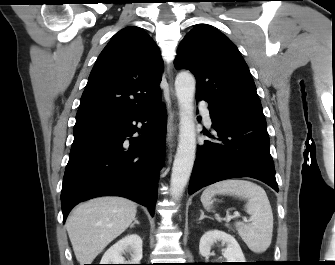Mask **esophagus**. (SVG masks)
Returning <instances> with one entry per match:
<instances>
[{
    "mask_svg": "<svg viewBox=\"0 0 335 265\" xmlns=\"http://www.w3.org/2000/svg\"><path fill=\"white\" fill-rule=\"evenodd\" d=\"M167 75H168V78L170 79V82H171V70L170 69L167 70ZM170 96H171L172 101L175 102V95H174V90H173L172 86H170ZM175 131H176V126L172 123L171 119H169L168 127H167V143H168V145L172 144Z\"/></svg>",
    "mask_w": 335,
    "mask_h": 265,
    "instance_id": "1",
    "label": "esophagus"
}]
</instances>
